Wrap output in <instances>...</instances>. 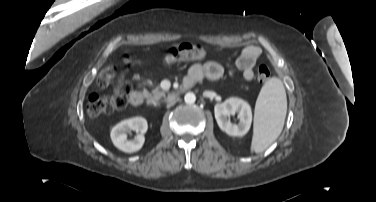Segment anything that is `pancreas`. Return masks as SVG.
<instances>
[{"mask_svg": "<svg viewBox=\"0 0 376 202\" xmlns=\"http://www.w3.org/2000/svg\"><path fill=\"white\" fill-rule=\"evenodd\" d=\"M163 97H165V91L161 90L160 87H156L152 93L147 95V101L150 104H157Z\"/></svg>", "mask_w": 376, "mask_h": 202, "instance_id": "1", "label": "pancreas"}]
</instances>
